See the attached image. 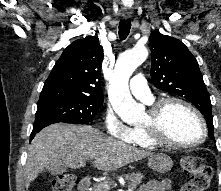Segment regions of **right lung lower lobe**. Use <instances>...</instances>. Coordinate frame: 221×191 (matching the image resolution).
I'll list each match as a JSON object with an SVG mask.
<instances>
[{
	"label": "right lung lower lobe",
	"mask_w": 221,
	"mask_h": 191,
	"mask_svg": "<svg viewBox=\"0 0 221 191\" xmlns=\"http://www.w3.org/2000/svg\"><path fill=\"white\" fill-rule=\"evenodd\" d=\"M53 123H57V122H56V120H54L50 116H46V115H43V114L36 115L35 122H34V125H33V130H32V133L30 135V141L34 138L36 133H38L44 127H46L50 124H53Z\"/></svg>",
	"instance_id": "right-lung-lower-lobe-1"
}]
</instances>
